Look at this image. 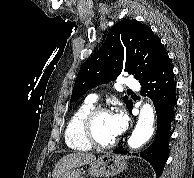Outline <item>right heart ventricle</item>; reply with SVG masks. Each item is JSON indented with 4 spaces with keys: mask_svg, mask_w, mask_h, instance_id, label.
I'll list each match as a JSON object with an SVG mask.
<instances>
[{
    "mask_svg": "<svg viewBox=\"0 0 194 178\" xmlns=\"http://www.w3.org/2000/svg\"><path fill=\"white\" fill-rule=\"evenodd\" d=\"M93 104L89 101L81 104L70 117L65 129V142L67 146L76 151H88L92 146L84 139L82 134V120Z\"/></svg>",
    "mask_w": 194,
    "mask_h": 178,
    "instance_id": "right-heart-ventricle-1",
    "label": "right heart ventricle"
}]
</instances>
